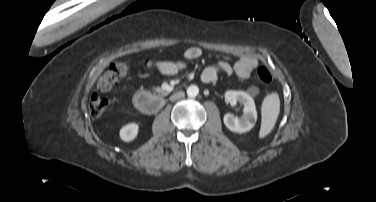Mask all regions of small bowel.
<instances>
[{
	"label": "small bowel",
	"mask_w": 376,
	"mask_h": 202,
	"mask_svg": "<svg viewBox=\"0 0 376 202\" xmlns=\"http://www.w3.org/2000/svg\"><path fill=\"white\" fill-rule=\"evenodd\" d=\"M183 60L179 61H159L155 64L157 71L165 76H173L184 70L187 65L202 56V50L199 47H190L185 50ZM256 58L249 55H242L232 65L226 61H221L213 66H207L202 69L200 79L204 83H215L222 76H229L233 73L241 78H248L252 70L257 66ZM254 94V92H252Z\"/></svg>",
	"instance_id": "obj_1"
}]
</instances>
